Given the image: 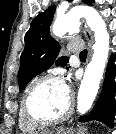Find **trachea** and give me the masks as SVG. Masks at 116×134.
Masks as SVG:
<instances>
[{
  "instance_id": "trachea-1",
  "label": "trachea",
  "mask_w": 116,
  "mask_h": 134,
  "mask_svg": "<svg viewBox=\"0 0 116 134\" xmlns=\"http://www.w3.org/2000/svg\"><path fill=\"white\" fill-rule=\"evenodd\" d=\"M79 56H80V57H87V50H86V49L83 50V51L80 53Z\"/></svg>"
}]
</instances>
